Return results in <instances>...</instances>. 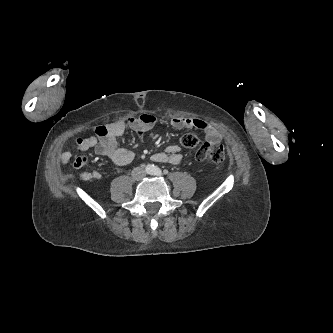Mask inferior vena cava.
Segmentation results:
<instances>
[{
    "label": "inferior vena cava",
    "instance_id": "obj_1",
    "mask_svg": "<svg viewBox=\"0 0 333 333\" xmlns=\"http://www.w3.org/2000/svg\"><path fill=\"white\" fill-rule=\"evenodd\" d=\"M146 175L145 170L142 167H136L132 170V177L136 180L144 178Z\"/></svg>",
    "mask_w": 333,
    "mask_h": 333
}]
</instances>
